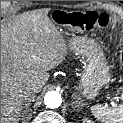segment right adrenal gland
Returning a JSON list of instances; mask_svg holds the SVG:
<instances>
[{
	"label": "right adrenal gland",
	"instance_id": "2a0ac1e0",
	"mask_svg": "<svg viewBox=\"0 0 123 123\" xmlns=\"http://www.w3.org/2000/svg\"><path fill=\"white\" fill-rule=\"evenodd\" d=\"M31 102H33V98L32 99H29L27 101V103L23 106V108L25 109L24 111H26V112L27 111H30L29 107L31 105ZM22 119H24V117ZM23 123H28V122L27 121H24Z\"/></svg>",
	"mask_w": 123,
	"mask_h": 123
}]
</instances>
